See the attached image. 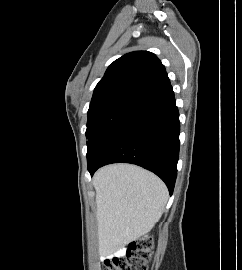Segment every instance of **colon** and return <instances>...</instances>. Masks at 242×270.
Listing matches in <instances>:
<instances>
[{"label":"colon","instance_id":"5ec220e1","mask_svg":"<svg viewBox=\"0 0 242 270\" xmlns=\"http://www.w3.org/2000/svg\"><path fill=\"white\" fill-rule=\"evenodd\" d=\"M153 247L151 237H140L124 249L123 255H115L106 261L102 270H148Z\"/></svg>","mask_w":242,"mask_h":270}]
</instances>
